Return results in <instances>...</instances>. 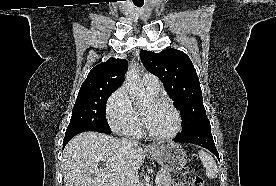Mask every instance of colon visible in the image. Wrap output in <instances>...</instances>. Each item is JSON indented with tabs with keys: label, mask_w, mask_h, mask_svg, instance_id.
Returning <instances> with one entry per match:
<instances>
[{
	"label": "colon",
	"mask_w": 276,
	"mask_h": 186,
	"mask_svg": "<svg viewBox=\"0 0 276 186\" xmlns=\"http://www.w3.org/2000/svg\"><path fill=\"white\" fill-rule=\"evenodd\" d=\"M174 186H204L201 177L189 171L179 172L175 175Z\"/></svg>",
	"instance_id": "5ec220e1"
}]
</instances>
